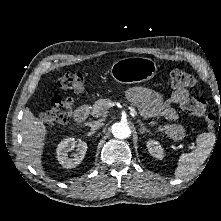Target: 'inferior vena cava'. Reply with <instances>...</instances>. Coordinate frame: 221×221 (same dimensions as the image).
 I'll return each mask as SVG.
<instances>
[{"instance_id":"obj_1","label":"inferior vena cava","mask_w":221,"mask_h":221,"mask_svg":"<svg viewBox=\"0 0 221 221\" xmlns=\"http://www.w3.org/2000/svg\"><path fill=\"white\" fill-rule=\"evenodd\" d=\"M91 132H95L97 129L104 125L103 120L94 121L91 124Z\"/></svg>"}]
</instances>
